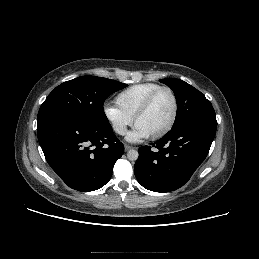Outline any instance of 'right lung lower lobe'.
<instances>
[{
  "mask_svg": "<svg viewBox=\"0 0 259 259\" xmlns=\"http://www.w3.org/2000/svg\"><path fill=\"white\" fill-rule=\"evenodd\" d=\"M37 130L48 164L70 188L78 191L103 187L124 153L110 123L64 115L38 124Z\"/></svg>",
  "mask_w": 259,
  "mask_h": 259,
  "instance_id": "98d812e1",
  "label": "right lung lower lobe"
}]
</instances>
